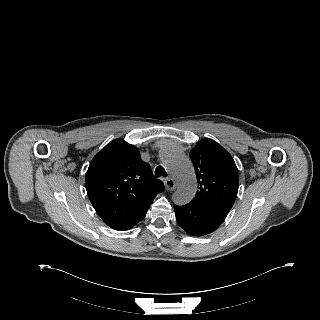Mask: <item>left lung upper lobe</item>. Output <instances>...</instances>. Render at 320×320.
I'll return each instance as SVG.
<instances>
[{
  "mask_svg": "<svg viewBox=\"0 0 320 320\" xmlns=\"http://www.w3.org/2000/svg\"><path fill=\"white\" fill-rule=\"evenodd\" d=\"M198 191L193 202L229 212L239 186L238 170L231 155L211 139L199 141L190 151Z\"/></svg>",
  "mask_w": 320,
  "mask_h": 320,
  "instance_id": "left-lung-upper-lobe-1",
  "label": "left lung upper lobe"
}]
</instances>
